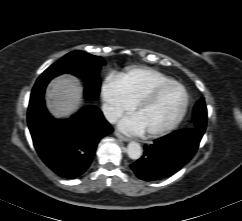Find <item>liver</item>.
<instances>
[{"mask_svg":"<svg viewBox=\"0 0 242 221\" xmlns=\"http://www.w3.org/2000/svg\"><path fill=\"white\" fill-rule=\"evenodd\" d=\"M47 107L55 119L68 118L82 102V87L75 77L65 75L54 79L47 89Z\"/></svg>","mask_w":242,"mask_h":221,"instance_id":"6515ba94","label":"liver"}]
</instances>
